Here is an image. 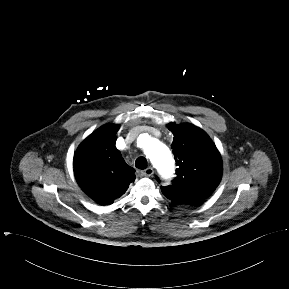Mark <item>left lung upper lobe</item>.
Listing matches in <instances>:
<instances>
[{
    "label": "left lung upper lobe",
    "instance_id": "1",
    "mask_svg": "<svg viewBox=\"0 0 289 289\" xmlns=\"http://www.w3.org/2000/svg\"><path fill=\"white\" fill-rule=\"evenodd\" d=\"M172 149L178 168L170 186L162 193L177 204L196 206L210 196L222 176V160L210 137L200 128L184 123H169Z\"/></svg>",
    "mask_w": 289,
    "mask_h": 289
}]
</instances>
